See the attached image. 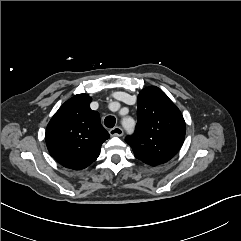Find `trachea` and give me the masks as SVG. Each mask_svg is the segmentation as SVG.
I'll return each mask as SVG.
<instances>
[{
	"mask_svg": "<svg viewBox=\"0 0 241 241\" xmlns=\"http://www.w3.org/2000/svg\"><path fill=\"white\" fill-rule=\"evenodd\" d=\"M116 123V119L114 116H107L104 120V124L108 128H113Z\"/></svg>",
	"mask_w": 241,
	"mask_h": 241,
	"instance_id": "obj_1",
	"label": "trachea"
}]
</instances>
